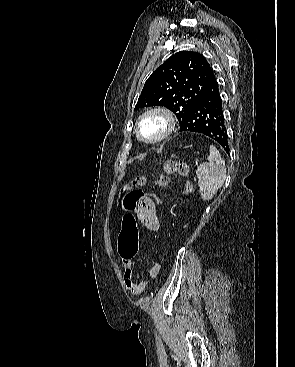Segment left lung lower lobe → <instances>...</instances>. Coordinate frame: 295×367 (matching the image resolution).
<instances>
[{
    "instance_id": "obj_1",
    "label": "left lung lower lobe",
    "mask_w": 295,
    "mask_h": 367,
    "mask_svg": "<svg viewBox=\"0 0 295 367\" xmlns=\"http://www.w3.org/2000/svg\"><path fill=\"white\" fill-rule=\"evenodd\" d=\"M179 131L204 134L218 142L227 153L229 152L223 103L214 75L189 108Z\"/></svg>"
}]
</instances>
